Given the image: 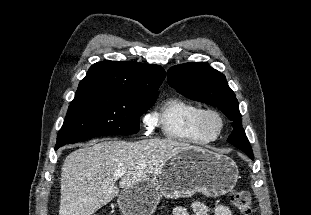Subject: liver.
<instances>
[{"mask_svg": "<svg viewBox=\"0 0 311 215\" xmlns=\"http://www.w3.org/2000/svg\"><path fill=\"white\" fill-rule=\"evenodd\" d=\"M188 143L172 139H146L137 142L105 140L71 152L61 169L59 215H92L119 194L150 178L164 162ZM126 174L116 185L117 170Z\"/></svg>", "mask_w": 311, "mask_h": 215, "instance_id": "liver-1", "label": "liver"}]
</instances>
